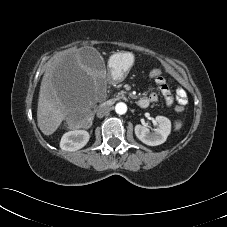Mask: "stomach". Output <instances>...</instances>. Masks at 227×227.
<instances>
[{
    "label": "stomach",
    "instance_id": "0dacf381",
    "mask_svg": "<svg viewBox=\"0 0 227 227\" xmlns=\"http://www.w3.org/2000/svg\"><path fill=\"white\" fill-rule=\"evenodd\" d=\"M133 62L134 56L131 52L120 51L113 54L109 59V70L113 80H123L130 70Z\"/></svg>",
    "mask_w": 227,
    "mask_h": 227
}]
</instances>
